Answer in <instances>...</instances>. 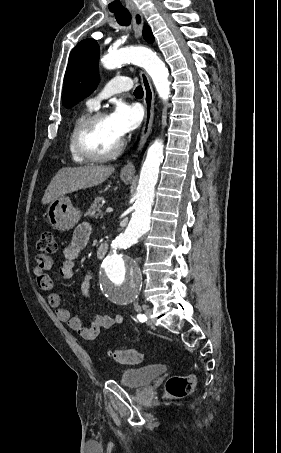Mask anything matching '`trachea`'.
<instances>
[{"label":"trachea","mask_w":281,"mask_h":453,"mask_svg":"<svg viewBox=\"0 0 281 453\" xmlns=\"http://www.w3.org/2000/svg\"><path fill=\"white\" fill-rule=\"evenodd\" d=\"M115 15V18L117 20V22L121 25V26H129L130 23H131V15L129 12H123V13H114ZM134 95L137 96V97H143V89L141 86H138L135 91H134Z\"/></svg>","instance_id":"3493384b"}]
</instances>
